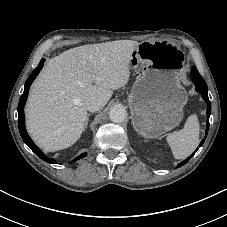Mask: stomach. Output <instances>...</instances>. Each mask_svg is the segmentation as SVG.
<instances>
[{"label": "stomach", "instance_id": "0dacf381", "mask_svg": "<svg viewBox=\"0 0 227 227\" xmlns=\"http://www.w3.org/2000/svg\"><path fill=\"white\" fill-rule=\"evenodd\" d=\"M185 56L162 41H144L132 53L131 66L141 73L132 86L128 103L132 124L145 138H157L183 119L187 95L180 83Z\"/></svg>", "mask_w": 227, "mask_h": 227}]
</instances>
